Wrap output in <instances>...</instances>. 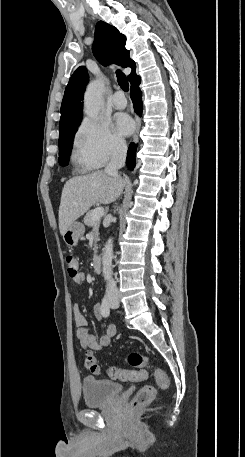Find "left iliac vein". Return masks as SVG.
Wrapping results in <instances>:
<instances>
[{"mask_svg": "<svg viewBox=\"0 0 245 457\" xmlns=\"http://www.w3.org/2000/svg\"><path fill=\"white\" fill-rule=\"evenodd\" d=\"M119 307V303H118V300L114 303H112V308H118Z\"/></svg>", "mask_w": 245, "mask_h": 457, "instance_id": "1", "label": "left iliac vein"}]
</instances>
